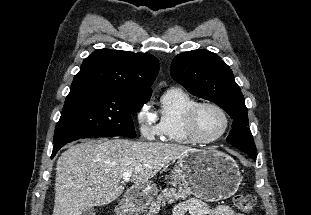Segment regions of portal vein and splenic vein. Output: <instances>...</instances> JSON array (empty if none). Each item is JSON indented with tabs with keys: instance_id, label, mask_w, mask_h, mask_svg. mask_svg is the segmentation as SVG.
<instances>
[{
	"instance_id": "obj_1",
	"label": "portal vein and splenic vein",
	"mask_w": 311,
	"mask_h": 215,
	"mask_svg": "<svg viewBox=\"0 0 311 215\" xmlns=\"http://www.w3.org/2000/svg\"><path fill=\"white\" fill-rule=\"evenodd\" d=\"M131 176H132V173H131V172H124V174H123V180H124L125 182H128V181L130 180Z\"/></svg>"
}]
</instances>
